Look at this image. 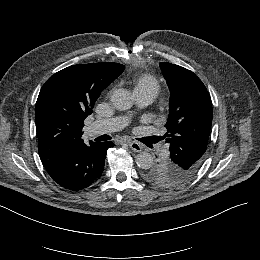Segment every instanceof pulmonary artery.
Instances as JSON below:
<instances>
[{
	"instance_id": "e3ab8cb5",
	"label": "pulmonary artery",
	"mask_w": 260,
	"mask_h": 260,
	"mask_svg": "<svg viewBox=\"0 0 260 260\" xmlns=\"http://www.w3.org/2000/svg\"><path fill=\"white\" fill-rule=\"evenodd\" d=\"M153 96L139 94L135 95L136 103L140 106H147L153 101ZM126 119L122 117H114L110 119L98 120L87 126L86 132L89 136L108 134L123 128Z\"/></svg>"
}]
</instances>
